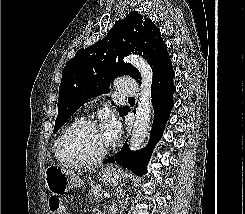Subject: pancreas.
I'll return each mask as SVG.
<instances>
[{"instance_id": "cf45deb5", "label": "pancreas", "mask_w": 245, "mask_h": 214, "mask_svg": "<svg viewBox=\"0 0 245 214\" xmlns=\"http://www.w3.org/2000/svg\"><path fill=\"white\" fill-rule=\"evenodd\" d=\"M103 192L104 190L100 186L93 185L90 189L89 197L96 202H100L103 200Z\"/></svg>"}]
</instances>
